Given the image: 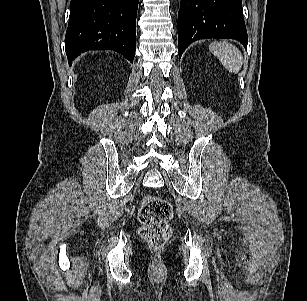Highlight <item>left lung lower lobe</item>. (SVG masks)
Instances as JSON below:
<instances>
[{
  "label": "left lung lower lobe",
  "mask_w": 307,
  "mask_h": 301,
  "mask_svg": "<svg viewBox=\"0 0 307 301\" xmlns=\"http://www.w3.org/2000/svg\"><path fill=\"white\" fill-rule=\"evenodd\" d=\"M207 38L235 39L247 47L241 0H181L178 12L179 57L193 41Z\"/></svg>",
  "instance_id": "0a47b994"
}]
</instances>
